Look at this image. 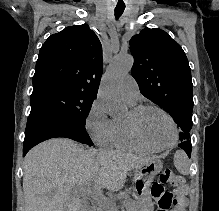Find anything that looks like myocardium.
<instances>
[{"mask_svg": "<svg viewBox=\"0 0 219 211\" xmlns=\"http://www.w3.org/2000/svg\"><path fill=\"white\" fill-rule=\"evenodd\" d=\"M148 109H155V110L160 111L171 122V125L173 127V132H174V140L171 144H169L167 146H162V147L156 146V145H153L152 143H150L146 139V137L143 135V133L139 127L138 118L145 110H148ZM126 124H127V127L129 129L130 133L135 138V140L138 141L140 144L150 148L151 150L164 151V150L171 149L177 144V141L179 138L178 127H177V124H176L173 116L166 109H164L161 106L156 105V104L146 103V104H139V105L132 107V109L129 112L128 117L126 118Z\"/></svg>", "mask_w": 219, "mask_h": 211, "instance_id": "myocardium-1", "label": "myocardium"}]
</instances>
